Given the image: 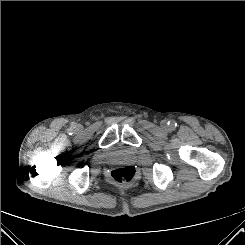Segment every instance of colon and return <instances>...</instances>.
<instances>
[{"label":"colon","mask_w":245,"mask_h":245,"mask_svg":"<svg viewBox=\"0 0 245 245\" xmlns=\"http://www.w3.org/2000/svg\"><path fill=\"white\" fill-rule=\"evenodd\" d=\"M111 177L117 184H131L136 178V170L129 165L116 167L111 171Z\"/></svg>","instance_id":"5ec220e1"}]
</instances>
